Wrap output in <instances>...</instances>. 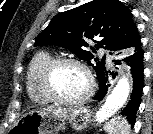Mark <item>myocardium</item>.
<instances>
[{"instance_id":"f54148a6","label":"myocardium","mask_w":153,"mask_h":134,"mask_svg":"<svg viewBox=\"0 0 153 134\" xmlns=\"http://www.w3.org/2000/svg\"><path fill=\"white\" fill-rule=\"evenodd\" d=\"M62 65H73L80 68L86 75L88 87L86 92L78 98L68 99L60 96L53 87V75L55 70ZM41 87L45 95L54 102L64 105H81L88 101L94 93L95 81L90 68L82 61L68 57L52 58L43 68L41 72Z\"/></svg>"}]
</instances>
